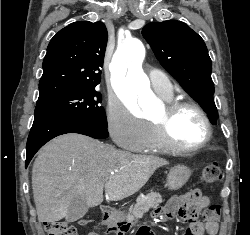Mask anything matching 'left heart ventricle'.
Wrapping results in <instances>:
<instances>
[{"label": "left heart ventricle", "instance_id": "obj_1", "mask_svg": "<svg viewBox=\"0 0 250 235\" xmlns=\"http://www.w3.org/2000/svg\"><path fill=\"white\" fill-rule=\"evenodd\" d=\"M164 114V108L151 120L157 121ZM171 136L182 146H194L205 136V126L201 116L193 109L186 108L178 112L171 123Z\"/></svg>", "mask_w": 250, "mask_h": 235}]
</instances>
